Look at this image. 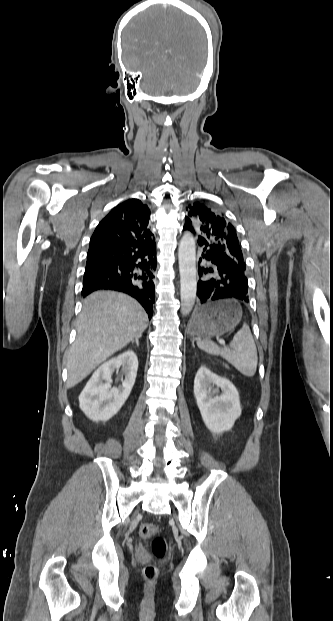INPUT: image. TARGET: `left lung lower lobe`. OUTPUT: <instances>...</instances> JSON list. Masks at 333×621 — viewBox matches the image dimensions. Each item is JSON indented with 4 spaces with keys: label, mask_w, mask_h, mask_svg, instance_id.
<instances>
[{
    "label": "left lung lower lobe",
    "mask_w": 333,
    "mask_h": 621,
    "mask_svg": "<svg viewBox=\"0 0 333 621\" xmlns=\"http://www.w3.org/2000/svg\"><path fill=\"white\" fill-rule=\"evenodd\" d=\"M183 230H187L185 227ZM193 233L195 231L191 230ZM198 245L203 248L202 259L210 267L198 268L200 279L197 283L199 303L204 304L219 299L234 298L248 302V280L245 269L235 260L203 238H198ZM212 276V277H211Z\"/></svg>",
    "instance_id": "1"
}]
</instances>
